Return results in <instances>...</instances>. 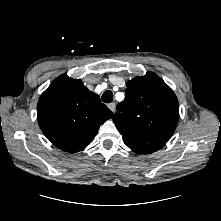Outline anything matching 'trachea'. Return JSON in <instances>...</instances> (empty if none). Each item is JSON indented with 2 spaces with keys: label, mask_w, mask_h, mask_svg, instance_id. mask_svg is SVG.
Masks as SVG:
<instances>
[{
  "label": "trachea",
  "mask_w": 221,
  "mask_h": 221,
  "mask_svg": "<svg viewBox=\"0 0 221 221\" xmlns=\"http://www.w3.org/2000/svg\"><path fill=\"white\" fill-rule=\"evenodd\" d=\"M113 100V93L111 90H106L103 94H102V101L104 103H111Z\"/></svg>",
  "instance_id": "3493384b"
}]
</instances>
